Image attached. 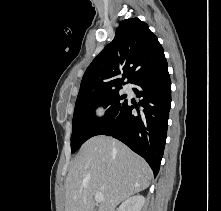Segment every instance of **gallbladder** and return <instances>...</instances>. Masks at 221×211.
I'll return each mask as SVG.
<instances>
[{
	"mask_svg": "<svg viewBox=\"0 0 221 211\" xmlns=\"http://www.w3.org/2000/svg\"><path fill=\"white\" fill-rule=\"evenodd\" d=\"M93 211H98V209H97V208H95Z\"/></svg>",
	"mask_w": 221,
	"mask_h": 211,
	"instance_id": "1",
	"label": "gallbladder"
}]
</instances>
